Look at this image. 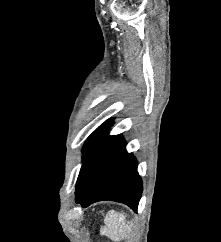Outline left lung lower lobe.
<instances>
[{
	"instance_id": "1",
	"label": "left lung lower lobe",
	"mask_w": 221,
	"mask_h": 242,
	"mask_svg": "<svg viewBox=\"0 0 221 242\" xmlns=\"http://www.w3.org/2000/svg\"><path fill=\"white\" fill-rule=\"evenodd\" d=\"M142 181L136 159L120 136L105 135L83 159L76 186V203L87 207L101 200L122 202L137 211Z\"/></svg>"
}]
</instances>
